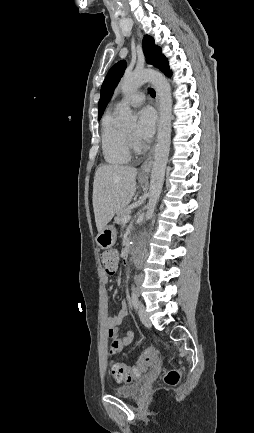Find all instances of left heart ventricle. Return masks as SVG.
<instances>
[{
	"label": "left heart ventricle",
	"mask_w": 254,
	"mask_h": 433,
	"mask_svg": "<svg viewBox=\"0 0 254 433\" xmlns=\"http://www.w3.org/2000/svg\"><path fill=\"white\" fill-rule=\"evenodd\" d=\"M126 132L129 133V134H132L133 133V128L126 129Z\"/></svg>",
	"instance_id": "obj_1"
}]
</instances>
